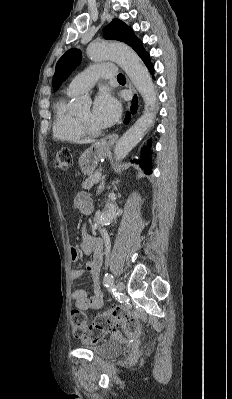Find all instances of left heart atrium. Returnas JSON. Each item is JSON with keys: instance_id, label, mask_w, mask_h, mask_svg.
I'll return each mask as SVG.
<instances>
[{"instance_id": "left-heart-atrium-1", "label": "left heart atrium", "mask_w": 232, "mask_h": 399, "mask_svg": "<svg viewBox=\"0 0 232 399\" xmlns=\"http://www.w3.org/2000/svg\"><path fill=\"white\" fill-rule=\"evenodd\" d=\"M119 102L109 93L100 94L91 110L94 121L104 128L112 126L120 117Z\"/></svg>"}]
</instances>
